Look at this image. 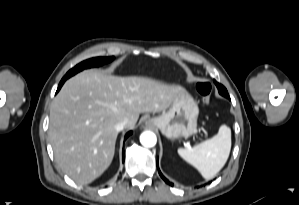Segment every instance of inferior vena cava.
Wrapping results in <instances>:
<instances>
[{
	"mask_svg": "<svg viewBox=\"0 0 299 205\" xmlns=\"http://www.w3.org/2000/svg\"><path fill=\"white\" fill-rule=\"evenodd\" d=\"M127 124V121H121L120 123L115 125V129L119 132L122 131Z\"/></svg>",
	"mask_w": 299,
	"mask_h": 205,
	"instance_id": "obj_1",
	"label": "inferior vena cava"
}]
</instances>
